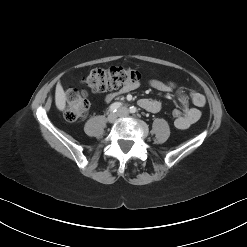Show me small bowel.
I'll return each instance as SVG.
<instances>
[{
  "instance_id": "obj_1",
  "label": "small bowel",
  "mask_w": 247,
  "mask_h": 247,
  "mask_svg": "<svg viewBox=\"0 0 247 247\" xmlns=\"http://www.w3.org/2000/svg\"><path fill=\"white\" fill-rule=\"evenodd\" d=\"M149 85L157 90H160L162 92L171 93L173 91L177 92L179 101L181 105L183 106L184 113L183 115L175 120L174 124L175 127L178 129H187L192 124H194L196 121L199 120L201 117V111L200 108L203 107L206 103V98L203 94L197 92V91H191L190 92V102L186 98V96L183 94V91L181 89H177L175 84L172 82H164L157 79H152L149 81ZM139 86V83L128 85L124 88H121L117 92L110 93L106 96V101H111L118 97L119 95L128 93L132 90H135ZM140 107H142L144 110L156 113L159 112L162 108V104L158 100L149 99V98H143L139 101Z\"/></svg>"
}]
</instances>
